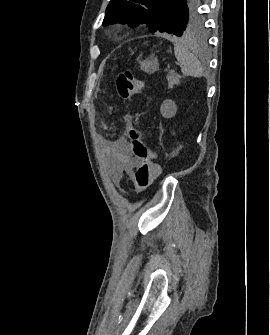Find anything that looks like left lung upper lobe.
Masks as SVG:
<instances>
[{
    "mask_svg": "<svg viewBox=\"0 0 270 335\" xmlns=\"http://www.w3.org/2000/svg\"><path fill=\"white\" fill-rule=\"evenodd\" d=\"M197 0H112L103 25L145 24L151 32H167L178 37L202 30Z\"/></svg>",
    "mask_w": 270,
    "mask_h": 335,
    "instance_id": "5c2ea615",
    "label": "left lung upper lobe"
}]
</instances>
